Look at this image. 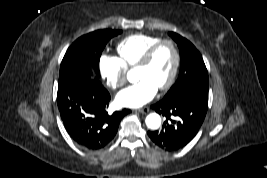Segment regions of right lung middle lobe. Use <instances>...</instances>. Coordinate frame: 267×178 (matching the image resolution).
Returning <instances> with one entry per match:
<instances>
[{
  "label": "right lung middle lobe",
  "instance_id": "right-lung-middle-lobe-1",
  "mask_svg": "<svg viewBox=\"0 0 267 178\" xmlns=\"http://www.w3.org/2000/svg\"><path fill=\"white\" fill-rule=\"evenodd\" d=\"M121 30H97L78 38L66 51L61 62L59 84L80 79H97L99 61L107 42ZM95 72L96 77H93Z\"/></svg>",
  "mask_w": 267,
  "mask_h": 178
}]
</instances>
